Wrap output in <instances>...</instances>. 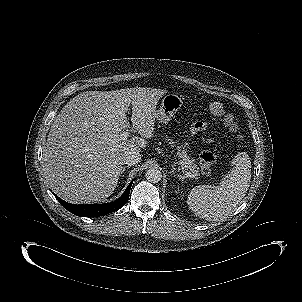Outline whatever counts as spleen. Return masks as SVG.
<instances>
[{"mask_svg":"<svg viewBox=\"0 0 302 302\" xmlns=\"http://www.w3.org/2000/svg\"><path fill=\"white\" fill-rule=\"evenodd\" d=\"M251 163L245 153L238 154L232 161L231 172L217 186L194 187L187 205L196 216L207 221H217L233 212L245 196L251 180Z\"/></svg>","mask_w":302,"mask_h":302,"instance_id":"3e777b00","label":"spleen"}]
</instances>
